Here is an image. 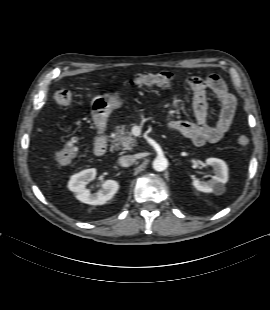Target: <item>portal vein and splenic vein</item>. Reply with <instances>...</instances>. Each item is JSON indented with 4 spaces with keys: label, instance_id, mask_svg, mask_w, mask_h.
Listing matches in <instances>:
<instances>
[{
    "label": "portal vein and splenic vein",
    "instance_id": "obj_1",
    "mask_svg": "<svg viewBox=\"0 0 270 310\" xmlns=\"http://www.w3.org/2000/svg\"><path fill=\"white\" fill-rule=\"evenodd\" d=\"M132 132H133V134H134L135 136H139L140 133H141V129H140V127H138V126H135V127H133Z\"/></svg>",
    "mask_w": 270,
    "mask_h": 310
}]
</instances>
